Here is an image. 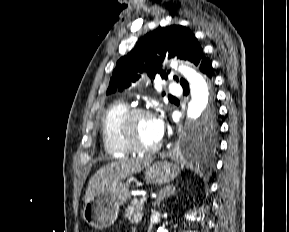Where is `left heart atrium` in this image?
Segmentation results:
<instances>
[{"mask_svg":"<svg viewBox=\"0 0 289 232\" xmlns=\"http://www.w3.org/2000/svg\"><path fill=\"white\" fill-rule=\"evenodd\" d=\"M154 133L157 141L159 142L164 134V123L162 119L154 117Z\"/></svg>","mask_w":289,"mask_h":232,"instance_id":"obj_1","label":"left heart atrium"}]
</instances>
